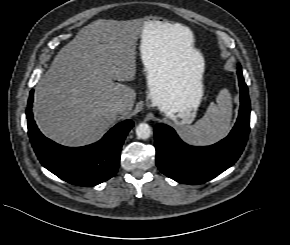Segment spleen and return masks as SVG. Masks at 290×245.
<instances>
[{
	"mask_svg": "<svg viewBox=\"0 0 290 245\" xmlns=\"http://www.w3.org/2000/svg\"><path fill=\"white\" fill-rule=\"evenodd\" d=\"M231 118V95L224 88L219 92L216 103H210L204 116L200 120L194 125L180 127L178 132L185 141L191 144H213L227 135Z\"/></svg>",
	"mask_w": 290,
	"mask_h": 245,
	"instance_id": "spleen-1",
	"label": "spleen"
}]
</instances>
